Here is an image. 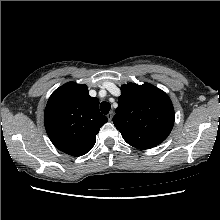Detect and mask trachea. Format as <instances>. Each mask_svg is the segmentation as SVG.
<instances>
[{
  "label": "trachea",
  "mask_w": 220,
  "mask_h": 220,
  "mask_svg": "<svg viewBox=\"0 0 220 220\" xmlns=\"http://www.w3.org/2000/svg\"><path fill=\"white\" fill-rule=\"evenodd\" d=\"M100 109L104 115H107L111 109V105L108 102H102L100 104Z\"/></svg>",
  "instance_id": "obj_1"
}]
</instances>
